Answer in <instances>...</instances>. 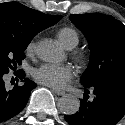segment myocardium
<instances>
[{
  "mask_svg": "<svg viewBox=\"0 0 125 125\" xmlns=\"http://www.w3.org/2000/svg\"><path fill=\"white\" fill-rule=\"evenodd\" d=\"M73 58L77 63L82 64L85 60V54L82 51H75Z\"/></svg>",
  "mask_w": 125,
  "mask_h": 125,
  "instance_id": "1",
  "label": "myocardium"
}]
</instances>
